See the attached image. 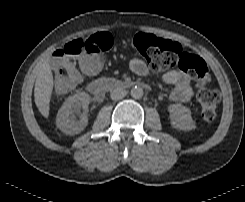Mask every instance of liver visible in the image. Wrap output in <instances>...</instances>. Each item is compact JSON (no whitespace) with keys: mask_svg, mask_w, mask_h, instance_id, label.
<instances>
[{"mask_svg":"<svg viewBox=\"0 0 245 202\" xmlns=\"http://www.w3.org/2000/svg\"><path fill=\"white\" fill-rule=\"evenodd\" d=\"M54 81L51 67L48 62H43L38 68V75L35 82L34 97L35 103L43 117H49L50 100L53 91Z\"/></svg>","mask_w":245,"mask_h":202,"instance_id":"1","label":"liver"}]
</instances>
